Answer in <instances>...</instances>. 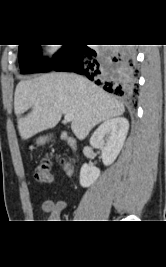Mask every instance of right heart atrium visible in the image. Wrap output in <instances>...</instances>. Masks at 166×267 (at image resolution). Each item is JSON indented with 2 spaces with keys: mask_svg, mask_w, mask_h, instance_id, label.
Instances as JSON below:
<instances>
[{
  "mask_svg": "<svg viewBox=\"0 0 166 267\" xmlns=\"http://www.w3.org/2000/svg\"><path fill=\"white\" fill-rule=\"evenodd\" d=\"M60 46L58 45H47L45 47V55L48 57H55L60 53Z\"/></svg>",
  "mask_w": 166,
  "mask_h": 267,
  "instance_id": "1",
  "label": "right heart atrium"
}]
</instances>
